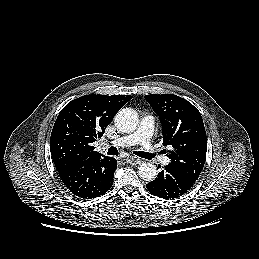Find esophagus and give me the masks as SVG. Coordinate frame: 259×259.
Masks as SVG:
<instances>
[{
	"label": "esophagus",
	"mask_w": 259,
	"mask_h": 259,
	"mask_svg": "<svg viewBox=\"0 0 259 259\" xmlns=\"http://www.w3.org/2000/svg\"><path fill=\"white\" fill-rule=\"evenodd\" d=\"M127 162L129 164H132V165H139L141 163V160L137 157H133V156H130L128 159H127Z\"/></svg>",
	"instance_id": "obj_1"
}]
</instances>
